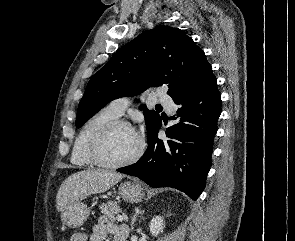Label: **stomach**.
Segmentation results:
<instances>
[{
	"label": "stomach",
	"instance_id": "0dacf381",
	"mask_svg": "<svg viewBox=\"0 0 295 241\" xmlns=\"http://www.w3.org/2000/svg\"><path fill=\"white\" fill-rule=\"evenodd\" d=\"M119 195L129 203H136L145 196V188L136 179L122 182L119 185ZM90 210L84 203L76 201L65 207L61 213L62 222L70 228H79L88 219Z\"/></svg>",
	"mask_w": 295,
	"mask_h": 241
}]
</instances>
